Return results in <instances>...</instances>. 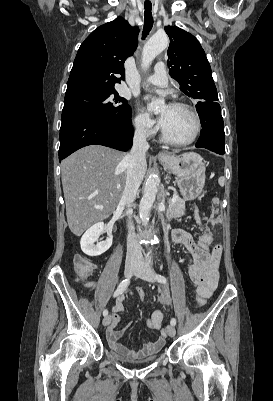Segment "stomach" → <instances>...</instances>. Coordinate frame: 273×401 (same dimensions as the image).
<instances>
[{
	"label": "stomach",
	"mask_w": 273,
	"mask_h": 401,
	"mask_svg": "<svg viewBox=\"0 0 273 401\" xmlns=\"http://www.w3.org/2000/svg\"><path fill=\"white\" fill-rule=\"evenodd\" d=\"M169 154L167 158L158 156L164 168L177 176V184L184 201H193L201 194L205 186V164L198 152H183V154Z\"/></svg>",
	"instance_id": "stomach-1"
}]
</instances>
